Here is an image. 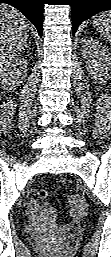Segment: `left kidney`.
Returning <instances> with one entry per match:
<instances>
[{
    "label": "left kidney",
    "instance_id": "1",
    "mask_svg": "<svg viewBox=\"0 0 111 257\" xmlns=\"http://www.w3.org/2000/svg\"><path fill=\"white\" fill-rule=\"evenodd\" d=\"M81 44L82 56L89 74L100 83L106 82L111 77L109 50L93 38L83 39Z\"/></svg>",
    "mask_w": 111,
    "mask_h": 257
}]
</instances>
